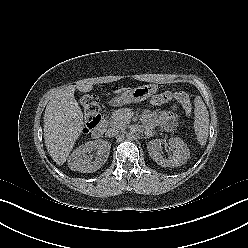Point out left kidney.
Returning a JSON list of instances; mask_svg holds the SVG:
<instances>
[{"instance_id": "5707ae66", "label": "left kidney", "mask_w": 248, "mask_h": 248, "mask_svg": "<svg viewBox=\"0 0 248 248\" xmlns=\"http://www.w3.org/2000/svg\"><path fill=\"white\" fill-rule=\"evenodd\" d=\"M163 141L154 139L148 142L147 149L151 158L162 167H178L186 163L190 157V151L187 144L178 137H172L168 140V144L174 149L173 155L164 158L161 154Z\"/></svg>"}]
</instances>
